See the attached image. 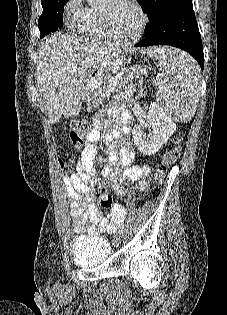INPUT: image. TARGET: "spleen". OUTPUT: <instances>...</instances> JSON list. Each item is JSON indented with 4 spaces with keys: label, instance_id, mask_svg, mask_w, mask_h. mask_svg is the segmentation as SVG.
<instances>
[{
    "label": "spleen",
    "instance_id": "3e777b00",
    "mask_svg": "<svg viewBox=\"0 0 227 315\" xmlns=\"http://www.w3.org/2000/svg\"><path fill=\"white\" fill-rule=\"evenodd\" d=\"M147 54L156 62L165 79L157 95L159 107L174 121L189 122L200 95L197 63L178 49L157 47Z\"/></svg>",
    "mask_w": 227,
    "mask_h": 315
}]
</instances>
